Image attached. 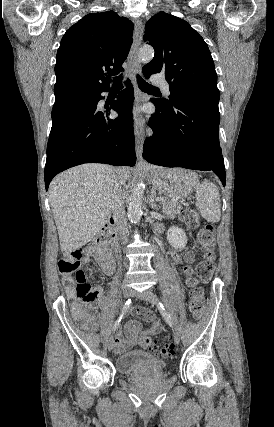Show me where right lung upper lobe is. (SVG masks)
Here are the masks:
<instances>
[{
    "label": "right lung upper lobe",
    "mask_w": 274,
    "mask_h": 427,
    "mask_svg": "<svg viewBox=\"0 0 274 427\" xmlns=\"http://www.w3.org/2000/svg\"><path fill=\"white\" fill-rule=\"evenodd\" d=\"M132 31V22L114 11L90 13L71 26L57 51L54 106L109 89L110 76L124 71Z\"/></svg>",
    "instance_id": "obj_1"
}]
</instances>
